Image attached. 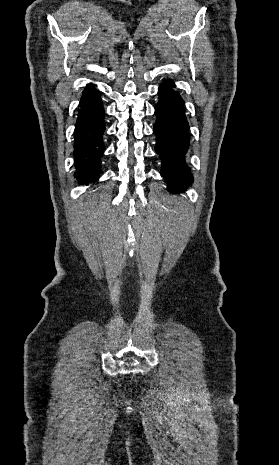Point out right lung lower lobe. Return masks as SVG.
I'll use <instances>...</instances> for the list:
<instances>
[{"mask_svg": "<svg viewBox=\"0 0 279 465\" xmlns=\"http://www.w3.org/2000/svg\"><path fill=\"white\" fill-rule=\"evenodd\" d=\"M74 132L75 174L81 184L98 180L101 174V157L105 150L104 109L100 94L93 84L83 91L77 110Z\"/></svg>", "mask_w": 279, "mask_h": 465, "instance_id": "right-lung-lower-lobe-1", "label": "right lung lower lobe"}]
</instances>
